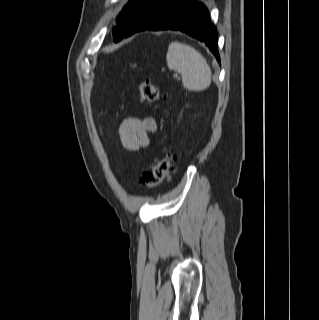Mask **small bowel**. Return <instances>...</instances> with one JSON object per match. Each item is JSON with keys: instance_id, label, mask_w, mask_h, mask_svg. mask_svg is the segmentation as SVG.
Returning <instances> with one entry per match:
<instances>
[{"instance_id": "obj_1", "label": "small bowel", "mask_w": 319, "mask_h": 320, "mask_svg": "<svg viewBox=\"0 0 319 320\" xmlns=\"http://www.w3.org/2000/svg\"><path fill=\"white\" fill-rule=\"evenodd\" d=\"M156 130L157 123L153 117L127 116L119 125V140L124 149L137 151L149 145V134Z\"/></svg>"}]
</instances>
